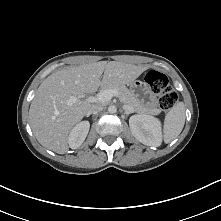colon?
Masks as SVG:
<instances>
[{
  "instance_id": "5ec220e1",
  "label": "colon",
  "mask_w": 221,
  "mask_h": 221,
  "mask_svg": "<svg viewBox=\"0 0 221 221\" xmlns=\"http://www.w3.org/2000/svg\"><path fill=\"white\" fill-rule=\"evenodd\" d=\"M146 83L158 95V105L163 111L171 110L178 101V94L163 73L150 70L145 76Z\"/></svg>"
}]
</instances>
